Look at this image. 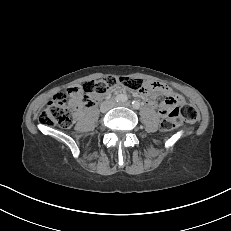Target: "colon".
I'll return each mask as SVG.
<instances>
[{"mask_svg": "<svg viewBox=\"0 0 231 231\" xmlns=\"http://www.w3.org/2000/svg\"><path fill=\"white\" fill-rule=\"evenodd\" d=\"M118 86L134 94H154L157 89L155 84H147L141 79L129 76H108L101 80H92L80 87L81 100L69 99L65 93L56 95L41 111L39 122L43 126L68 128L73 123L76 110L82 106H92L96 97ZM165 116L162 128L171 131L182 123L195 121L198 118V111L193 105L185 103L180 107L169 109L165 112Z\"/></svg>", "mask_w": 231, "mask_h": 231, "instance_id": "5ec220e1", "label": "colon"}]
</instances>
